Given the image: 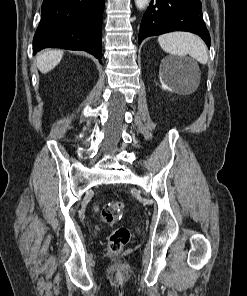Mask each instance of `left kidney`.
I'll list each match as a JSON object with an SVG mask.
<instances>
[{
    "label": "left kidney",
    "mask_w": 247,
    "mask_h": 296,
    "mask_svg": "<svg viewBox=\"0 0 247 296\" xmlns=\"http://www.w3.org/2000/svg\"><path fill=\"white\" fill-rule=\"evenodd\" d=\"M163 65L165 66L166 74H160V83L164 90L173 91L171 78L187 80L181 60L166 58L163 61Z\"/></svg>",
    "instance_id": "5707ae66"
}]
</instances>
